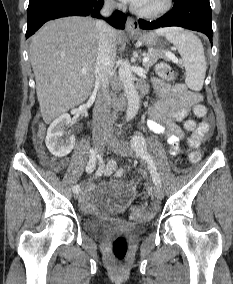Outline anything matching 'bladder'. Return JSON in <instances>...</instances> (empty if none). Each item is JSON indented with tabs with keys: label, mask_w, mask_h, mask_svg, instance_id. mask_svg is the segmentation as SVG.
<instances>
[{
	"label": "bladder",
	"mask_w": 233,
	"mask_h": 284,
	"mask_svg": "<svg viewBox=\"0 0 233 284\" xmlns=\"http://www.w3.org/2000/svg\"><path fill=\"white\" fill-rule=\"evenodd\" d=\"M134 196L133 187L123 180H111L96 186L87 193L84 200L87 202H96L102 206H119L129 202ZM126 228L141 232L144 226H134L122 220H102L87 219L84 222V230L91 236H103L113 229Z\"/></svg>",
	"instance_id": "obj_1"
}]
</instances>
